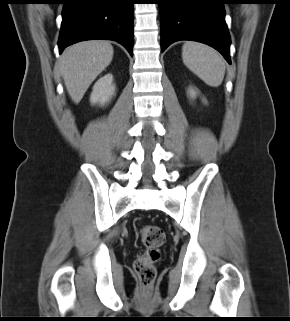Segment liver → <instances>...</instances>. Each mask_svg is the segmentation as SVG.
I'll use <instances>...</instances> for the list:
<instances>
[{
  "label": "liver",
  "mask_w": 290,
  "mask_h": 321,
  "mask_svg": "<svg viewBox=\"0 0 290 321\" xmlns=\"http://www.w3.org/2000/svg\"><path fill=\"white\" fill-rule=\"evenodd\" d=\"M113 47L108 41L89 40L71 45L59 58L58 69L74 103H79L96 77L111 63Z\"/></svg>",
  "instance_id": "obj_1"
}]
</instances>
